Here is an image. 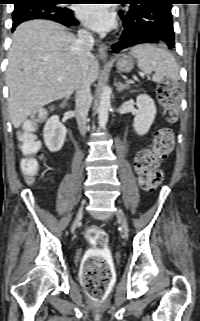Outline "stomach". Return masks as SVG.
I'll use <instances>...</instances> for the list:
<instances>
[{
  "mask_svg": "<svg viewBox=\"0 0 200 321\" xmlns=\"http://www.w3.org/2000/svg\"><path fill=\"white\" fill-rule=\"evenodd\" d=\"M135 61L129 55H119L116 57V67L122 73H129L134 68Z\"/></svg>",
  "mask_w": 200,
  "mask_h": 321,
  "instance_id": "obj_1",
  "label": "stomach"
}]
</instances>
